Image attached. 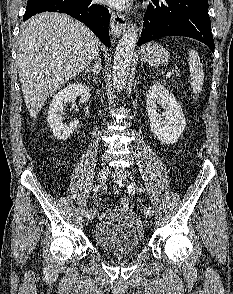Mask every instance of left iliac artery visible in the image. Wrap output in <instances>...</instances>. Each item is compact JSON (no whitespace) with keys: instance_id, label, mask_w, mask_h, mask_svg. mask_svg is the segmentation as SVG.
I'll return each mask as SVG.
<instances>
[{"instance_id":"1","label":"left iliac artery","mask_w":233,"mask_h":294,"mask_svg":"<svg viewBox=\"0 0 233 294\" xmlns=\"http://www.w3.org/2000/svg\"><path fill=\"white\" fill-rule=\"evenodd\" d=\"M138 190H139V192H144V189H143L142 187H141V188L139 187ZM128 192H129V191H128ZM148 212H149V213H153V207L149 206V207H148Z\"/></svg>"}]
</instances>
